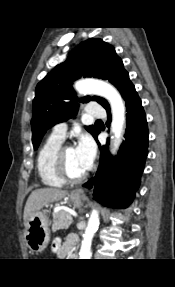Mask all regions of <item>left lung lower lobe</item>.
Wrapping results in <instances>:
<instances>
[{
	"mask_svg": "<svg viewBox=\"0 0 175 287\" xmlns=\"http://www.w3.org/2000/svg\"><path fill=\"white\" fill-rule=\"evenodd\" d=\"M124 100L127 111L125 141L114 158L106 146L101 147L98 143L101 150L99 168L95 177L83 185L93 188V197L98 202L115 208H126L132 202L148 154L146 115L133 84L125 92ZM107 114L110 123V110ZM97 135L94 138L98 142Z\"/></svg>",
	"mask_w": 175,
	"mask_h": 287,
	"instance_id": "left-lung-lower-lobe-1",
	"label": "left lung lower lobe"
}]
</instances>
